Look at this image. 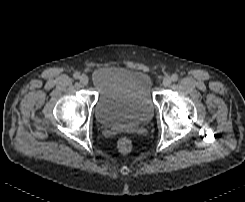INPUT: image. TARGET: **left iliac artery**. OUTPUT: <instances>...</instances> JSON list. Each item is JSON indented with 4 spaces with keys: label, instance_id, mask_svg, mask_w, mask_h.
Wrapping results in <instances>:
<instances>
[{
    "label": "left iliac artery",
    "instance_id": "left-iliac-artery-1",
    "mask_svg": "<svg viewBox=\"0 0 245 202\" xmlns=\"http://www.w3.org/2000/svg\"><path fill=\"white\" fill-rule=\"evenodd\" d=\"M171 79L173 81H177L178 80V75L177 74H173L172 77H171Z\"/></svg>",
    "mask_w": 245,
    "mask_h": 202
}]
</instances>
